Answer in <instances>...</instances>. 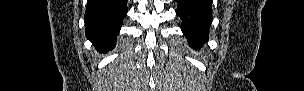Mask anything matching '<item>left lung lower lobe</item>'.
<instances>
[{
    "mask_svg": "<svg viewBox=\"0 0 304 91\" xmlns=\"http://www.w3.org/2000/svg\"><path fill=\"white\" fill-rule=\"evenodd\" d=\"M176 13L182 18V32L190 46L199 48L209 38L211 0H177Z\"/></svg>",
    "mask_w": 304,
    "mask_h": 91,
    "instance_id": "obj_1",
    "label": "left lung lower lobe"
}]
</instances>
